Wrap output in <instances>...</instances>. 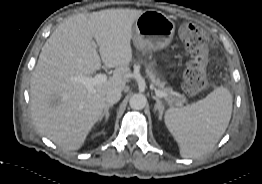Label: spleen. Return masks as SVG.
Returning <instances> with one entry per match:
<instances>
[{"label":"spleen","mask_w":262,"mask_h":184,"mask_svg":"<svg viewBox=\"0 0 262 184\" xmlns=\"http://www.w3.org/2000/svg\"><path fill=\"white\" fill-rule=\"evenodd\" d=\"M232 103L229 89L220 86L196 103L166 110L165 125L183 158L201 156L215 146L229 125Z\"/></svg>","instance_id":"1"}]
</instances>
